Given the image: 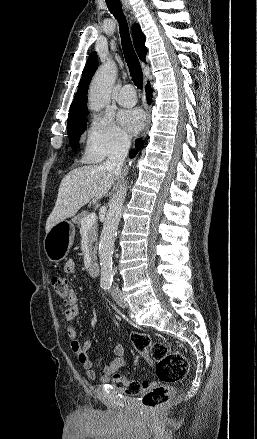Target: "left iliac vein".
Masks as SVG:
<instances>
[{
  "mask_svg": "<svg viewBox=\"0 0 257 439\" xmlns=\"http://www.w3.org/2000/svg\"><path fill=\"white\" fill-rule=\"evenodd\" d=\"M112 296L113 299L115 300V302L121 306V307H125L126 306V301L124 300L122 293L119 290H113L112 291Z\"/></svg>",
  "mask_w": 257,
  "mask_h": 439,
  "instance_id": "4c4485c4",
  "label": "left iliac vein"
}]
</instances>
